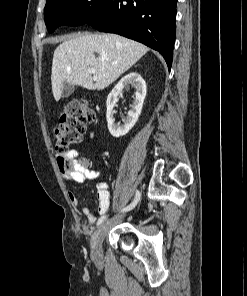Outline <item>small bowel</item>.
Instances as JSON below:
<instances>
[{"label":"small bowel","instance_id":"obj_1","mask_svg":"<svg viewBox=\"0 0 247 296\" xmlns=\"http://www.w3.org/2000/svg\"><path fill=\"white\" fill-rule=\"evenodd\" d=\"M95 131L91 132V137H94ZM65 156L72 161H75L79 157V153L76 150H69L66 152ZM63 178L66 180H72L76 183H83L86 180L96 179L100 175V170L98 169H88L84 167L82 169L76 167L73 171H68L60 166ZM96 195L99 200L98 212L100 215L105 216L110 207V194L108 189V184L105 181L98 182L96 185ZM68 197L73 204L78 203V199L74 192L68 191ZM82 213L87 217L90 223H94L97 220V216L91 211L89 205H85L82 208Z\"/></svg>","mask_w":247,"mask_h":296}]
</instances>
